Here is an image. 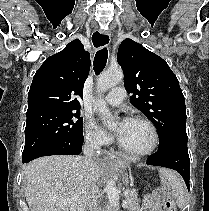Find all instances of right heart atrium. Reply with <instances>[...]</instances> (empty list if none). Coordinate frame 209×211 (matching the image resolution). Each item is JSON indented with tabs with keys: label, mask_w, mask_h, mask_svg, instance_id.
I'll list each match as a JSON object with an SVG mask.
<instances>
[{
	"label": "right heart atrium",
	"mask_w": 209,
	"mask_h": 211,
	"mask_svg": "<svg viewBox=\"0 0 209 211\" xmlns=\"http://www.w3.org/2000/svg\"><path fill=\"white\" fill-rule=\"evenodd\" d=\"M85 140L93 146H101L110 142V137L100 129L93 121L85 123Z\"/></svg>",
	"instance_id": "obj_1"
}]
</instances>
